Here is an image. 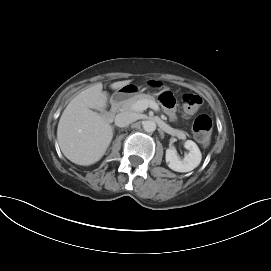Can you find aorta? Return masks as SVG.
Listing matches in <instances>:
<instances>
[{
	"instance_id": "aorta-1",
	"label": "aorta",
	"mask_w": 271,
	"mask_h": 271,
	"mask_svg": "<svg viewBox=\"0 0 271 271\" xmlns=\"http://www.w3.org/2000/svg\"><path fill=\"white\" fill-rule=\"evenodd\" d=\"M143 129L146 132H153L156 130V123L153 120H147L143 122Z\"/></svg>"
}]
</instances>
